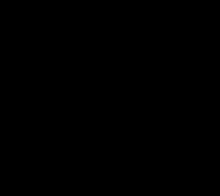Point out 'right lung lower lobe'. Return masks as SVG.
Wrapping results in <instances>:
<instances>
[{"label": "right lung lower lobe", "mask_w": 220, "mask_h": 196, "mask_svg": "<svg viewBox=\"0 0 220 196\" xmlns=\"http://www.w3.org/2000/svg\"><path fill=\"white\" fill-rule=\"evenodd\" d=\"M54 126H55L56 130L58 131V133L62 134L68 140L75 141L82 136V132L79 134H72L71 132H69L67 130V128L65 126H63V124H61L60 122H58L55 119H54Z\"/></svg>", "instance_id": "obj_1"}]
</instances>
